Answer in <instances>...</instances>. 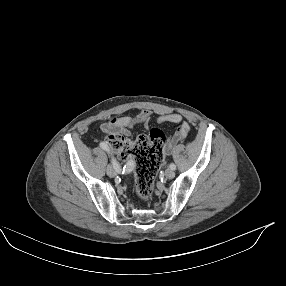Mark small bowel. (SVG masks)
I'll use <instances>...</instances> for the list:
<instances>
[{"mask_svg": "<svg viewBox=\"0 0 286 286\" xmlns=\"http://www.w3.org/2000/svg\"><path fill=\"white\" fill-rule=\"evenodd\" d=\"M150 120L151 112L143 109L140 110L136 116L125 115L113 117L108 121L103 122L100 128L104 133L105 139L112 134L130 136L132 134V130L138 125L142 126V128L147 131ZM157 123H173L179 125L178 131L169 138L165 146L166 154H170L173 149L187 137L190 131L189 124L184 121V116L179 113H162L157 117ZM126 167V172L131 170L133 167L132 162H128Z\"/></svg>", "mask_w": 286, "mask_h": 286, "instance_id": "small-bowel-1", "label": "small bowel"}]
</instances>
